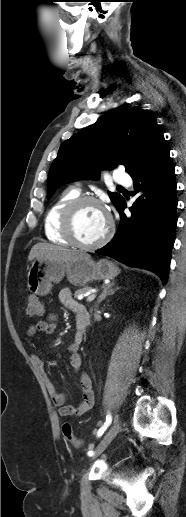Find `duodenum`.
<instances>
[{
  "instance_id": "410a0bca",
  "label": "duodenum",
  "mask_w": 186,
  "mask_h": 517,
  "mask_svg": "<svg viewBox=\"0 0 186 517\" xmlns=\"http://www.w3.org/2000/svg\"><path fill=\"white\" fill-rule=\"evenodd\" d=\"M90 324V314L87 309H83L77 314V327L81 334L85 331V329Z\"/></svg>"
}]
</instances>
